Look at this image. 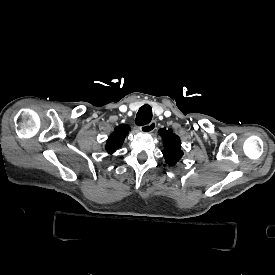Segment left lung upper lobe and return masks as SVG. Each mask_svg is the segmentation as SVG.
Listing matches in <instances>:
<instances>
[{
	"label": "left lung upper lobe",
	"instance_id": "5c2ea615",
	"mask_svg": "<svg viewBox=\"0 0 275 275\" xmlns=\"http://www.w3.org/2000/svg\"><path fill=\"white\" fill-rule=\"evenodd\" d=\"M164 142L163 155L167 164L174 166L183 156L181 150L180 138L173 133L172 129L166 130L165 128L159 130Z\"/></svg>",
	"mask_w": 275,
	"mask_h": 275
}]
</instances>
